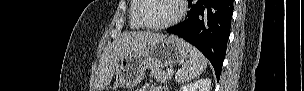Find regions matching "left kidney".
<instances>
[{
  "instance_id": "left-kidney-1",
  "label": "left kidney",
  "mask_w": 304,
  "mask_h": 91,
  "mask_svg": "<svg viewBox=\"0 0 304 91\" xmlns=\"http://www.w3.org/2000/svg\"><path fill=\"white\" fill-rule=\"evenodd\" d=\"M211 83L209 78L200 79L191 84L182 86L180 91H210Z\"/></svg>"
}]
</instances>
